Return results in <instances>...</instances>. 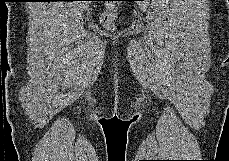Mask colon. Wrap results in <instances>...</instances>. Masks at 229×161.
Returning a JSON list of instances; mask_svg holds the SVG:
<instances>
[{"label":"colon","mask_w":229,"mask_h":161,"mask_svg":"<svg viewBox=\"0 0 229 161\" xmlns=\"http://www.w3.org/2000/svg\"><path fill=\"white\" fill-rule=\"evenodd\" d=\"M110 3L107 4V9L104 11V13L100 17V23L101 25L111 30L114 28V22L117 16V1H109Z\"/></svg>","instance_id":"obj_1"}]
</instances>
